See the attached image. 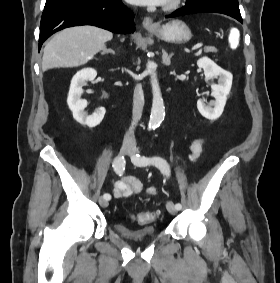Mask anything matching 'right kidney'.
Listing matches in <instances>:
<instances>
[{"label":"right kidney","instance_id":"obj_1","mask_svg":"<svg viewBox=\"0 0 280 283\" xmlns=\"http://www.w3.org/2000/svg\"><path fill=\"white\" fill-rule=\"evenodd\" d=\"M97 75V71L93 68H85L78 71L71 80L70 90L67 103L73 113L74 119L83 126L90 128L96 127L101 123L105 115V108L97 109L93 114L89 115L84 111L87 107V101L81 99L83 94L82 87L87 81H93Z\"/></svg>","mask_w":280,"mask_h":283}]
</instances>
